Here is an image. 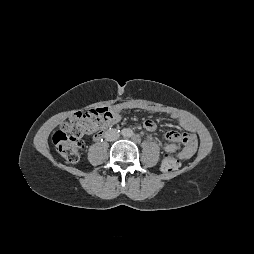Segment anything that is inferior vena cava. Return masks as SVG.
<instances>
[{"instance_id":"obj_1","label":"inferior vena cava","mask_w":254,"mask_h":254,"mask_svg":"<svg viewBox=\"0 0 254 254\" xmlns=\"http://www.w3.org/2000/svg\"><path fill=\"white\" fill-rule=\"evenodd\" d=\"M104 137L107 141L111 142L116 141L120 137V134L116 129H110L105 132Z\"/></svg>"}]
</instances>
